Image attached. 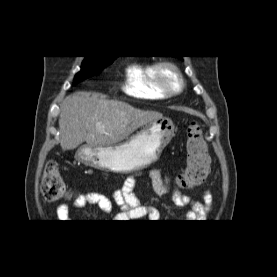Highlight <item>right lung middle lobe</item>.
<instances>
[{
    "instance_id": "dd1d6c3e",
    "label": "right lung middle lobe",
    "mask_w": 277,
    "mask_h": 277,
    "mask_svg": "<svg viewBox=\"0 0 277 277\" xmlns=\"http://www.w3.org/2000/svg\"><path fill=\"white\" fill-rule=\"evenodd\" d=\"M114 59L115 58L86 57L82 62L81 71L75 76V80H85L95 76L104 67L111 64Z\"/></svg>"
}]
</instances>
